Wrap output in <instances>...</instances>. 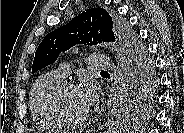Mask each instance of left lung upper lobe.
Here are the masks:
<instances>
[{
    "label": "left lung upper lobe",
    "instance_id": "obj_1",
    "mask_svg": "<svg viewBox=\"0 0 184 133\" xmlns=\"http://www.w3.org/2000/svg\"><path fill=\"white\" fill-rule=\"evenodd\" d=\"M115 41L125 73L121 104L125 112H132L143 103L147 89L155 81L153 64L126 22L103 8L88 9L47 34L35 52L32 73L54 63L61 51L76 44L96 45Z\"/></svg>",
    "mask_w": 184,
    "mask_h": 133
}]
</instances>
